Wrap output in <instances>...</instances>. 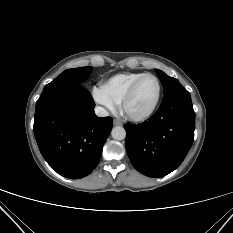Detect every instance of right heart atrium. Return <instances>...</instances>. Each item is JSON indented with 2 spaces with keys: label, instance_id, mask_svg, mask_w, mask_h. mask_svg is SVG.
<instances>
[{
  "label": "right heart atrium",
  "instance_id": "d8ad5b80",
  "mask_svg": "<svg viewBox=\"0 0 233 233\" xmlns=\"http://www.w3.org/2000/svg\"><path fill=\"white\" fill-rule=\"evenodd\" d=\"M93 100L104 110L114 111L118 101L112 96L105 84H97L91 90Z\"/></svg>",
  "mask_w": 233,
  "mask_h": 233
}]
</instances>
